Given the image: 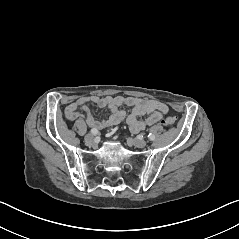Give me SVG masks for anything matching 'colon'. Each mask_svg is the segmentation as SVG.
Masks as SVG:
<instances>
[{
  "label": "colon",
  "instance_id": "5ec220e1",
  "mask_svg": "<svg viewBox=\"0 0 239 239\" xmlns=\"http://www.w3.org/2000/svg\"><path fill=\"white\" fill-rule=\"evenodd\" d=\"M176 121V118L174 116H168L164 121L163 123L166 125V126H172L174 125Z\"/></svg>",
  "mask_w": 239,
  "mask_h": 239
}]
</instances>
